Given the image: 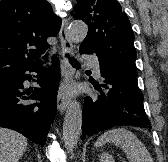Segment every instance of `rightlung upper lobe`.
<instances>
[{"label":"right lung upper lobe","instance_id":"cb5924a9","mask_svg":"<svg viewBox=\"0 0 168 162\" xmlns=\"http://www.w3.org/2000/svg\"><path fill=\"white\" fill-rule=\"evenodd\" d=\"M60 27L46 0H0V79L38 65Z\"/></svg>","mask_w":168,"mask_h":162}]
</instances>
